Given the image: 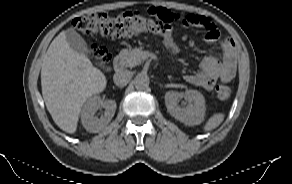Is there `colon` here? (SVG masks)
I'll return each mask as SVG.
<instances>
[{
    "instance_id": "colon-1",
    "label": "colon",
    "mask_w": 292,
    "mask_h": 184,
    "mask_svg": "<svg viewBox=\"0 0 292 184\" xmlns=\"http://www.w3.org/2000/svg\"><path fill=\"white\" fill-rule=\"evenodd\" d=\"M178 19V15L163 8H151L148 15L129 11L118 15L92 13L82 15L73 20L75 28L86 36L102 35L110 38H121L141 33L162 35L170 29V24ZM92 53L95 58L105 64L109 61L108 51L101 46H94ZM219 99L226 100L231 89L226 84L216 87Z\"/></svg>"
}]
</instances>
